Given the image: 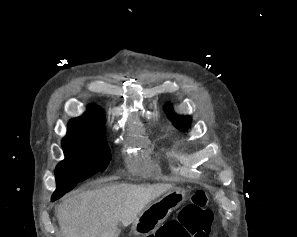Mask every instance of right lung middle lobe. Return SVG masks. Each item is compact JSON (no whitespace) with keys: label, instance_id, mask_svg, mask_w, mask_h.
I'll list each match as a JSON object with an SVG mask.
<instances>
[{"label":"right lung middle lobe","instance_id":"right-lung-middle-lobe-1","mask_svg":"<svg viewBox=\"0 0 297 237\" xmlns=\"http://www.w3.org/2000/svg\"><path fill=\"white\" fill-rule=\"evenodd\" d=\"M65 159L55 170L57 188L52 195L56 200L98 171H104L110 161L105 128L99 131L68 130L62 140Z\"/></svg>","mask_w":297,"mask_h":237}]
</instances>
